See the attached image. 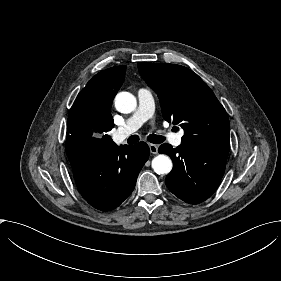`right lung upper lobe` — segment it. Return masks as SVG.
I'll use <instances>...</instances> for the list:
<instances>
[{"label": "right lung upper lobe", "instance_id": "right-lung-upper-lobe-1", "mask_svg": "<svg viewBox=\"0 0 281 281\" xmlns=\"http://www.w3.org/2000/svg\"><path fill=\"white\" fill-rule=\"evenodd\" d=\"M125 71V65L103 70L80 91L68 114L67 143L82 139L113 142L106 133L114 127L111 105Z\"/></svg>", "mask_w": 281, "mask_h": 281}]
</instances>
